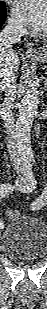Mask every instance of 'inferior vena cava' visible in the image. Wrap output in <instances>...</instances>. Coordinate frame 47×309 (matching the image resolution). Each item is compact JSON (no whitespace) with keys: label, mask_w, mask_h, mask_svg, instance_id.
<instances>
[{"label":"inferior vena cava","mask_w":47,"mask_h":309,"mask_svg":"<svg viewBox=\"0 0 47 309\" xmlns=\"http://www.w3.org/2000/svg\"><path fill=\"white\" fill-rule=\"evenodd\" d=\"M25 32L26 30L21 24L9 21L0 33L1 53L8 57H13L15 54L13 46L21 41V37ZM0 90L4 92V99L1 104V117L5 122L9 138L13 139L14 116L12 107L16 98V76L15 72L6 66L0 71ZM8 147L11 158L16 160L18 154L14 147V141L9 140Z\"/></svg>","instance_id":"602c4592"}]
</instances>
